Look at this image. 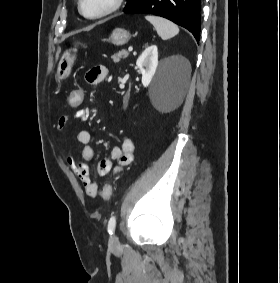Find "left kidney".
Wrapping results in <instances>:
<instances>
[{
    "instance_id": "5707ae66",
    "label": "left kidney",
    "mask_w": 280,
    "mask_h": 283,
    "mask_svg": "<svg viewBox=\"0 0 280 283\" xmlns=\"http://www.w3.org/2000/svg\"><path fill=\"white\" fill-rule=\"evenodd\" d=\"M172 60L176 61L180 65L187 63L186 59L182 57H174ZM136 65L142 74V85L147 87L150 84L158 66L157 46L151 45L147 47L137 59Z\"/></svg>"
}]
</instances>
